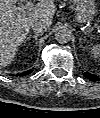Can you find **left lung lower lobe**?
I'll use <instances>...</instances> for the list:
<instances>
[{"label":"left lung lower lobe","instance_id":"left-lung-lower-lobe-1","mask_svg":"<svg viewBox=\"0 0 100 118\" xmlns=\"http://www.w3.org/2000/svg\"><path fill=\"white\" fill-rule=\"evenodd\" d=\"M83 75L87 78V79H89L90 81H98L99 80V78H98V76H96V75H92V74H89V73H83Z\"/></svg>","mask_w":100,"mask_h":118}]
</instances>
